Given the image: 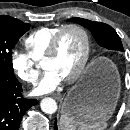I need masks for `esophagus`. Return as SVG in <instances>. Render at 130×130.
I'll return each instance as SVG.
<instances>
[{
	"label": "esophagus",
	"mask_w": 130,
	"mask_h": 130,
	"mask_svg": "<svg viewBox=\"0 0 130 130\" xmlns=\"http://www.w3.org/2000/svg\"><path fill=\"white\" fill-rule=\"evenodd\" d=\"M53 98L58 100V101H61L63 99L61 94H54Z\"/></svg>",
	"instance_id": "obj_1"
}]
</instances>
